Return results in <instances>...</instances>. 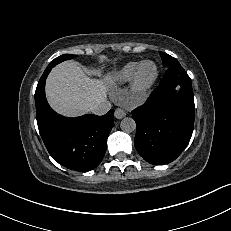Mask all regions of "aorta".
Returning <instances> with one entry per match:
<instances>
[{"label":"aorta","instance_id":"1","mask_svg":"<svg viewBox=\"0 0 231 231\" xmlns=\"http://www.w3.org/2000/svg\"><path fill=\"white\" fill-rule=\"evenodd\" d=\"M120 128L126 133H131L136 130V123L132 118H124L120 123Z\"/></svg>","mask_w":231,"mask_h":231}]
</instances>
